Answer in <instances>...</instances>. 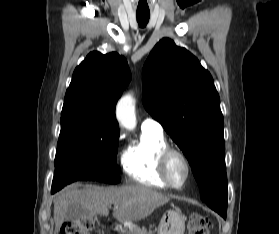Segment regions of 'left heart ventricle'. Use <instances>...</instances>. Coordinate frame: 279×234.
Returning <instances> with one entry per match:
<instances>
[{"label": "left heart ventricle", "mask_w": 279, "mask_h": 234, "mask_svg": "<svg viewBox=\"0 0 279 234\" xmlns=\"http://www.w3.org/2000/svg\"><path fill=\"white\" fill-rule=\"evenodd\" d=\"M168 173L170 179L175 184H181L185 178L186 170L183 161L177 157L173 156L169 161Z\"/></svg>", "instance_id": "b2bd125f"}]
</instances>
